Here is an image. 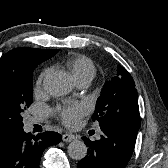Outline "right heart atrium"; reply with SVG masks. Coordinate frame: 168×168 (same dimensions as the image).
<instances>
[{"mask_svg": "<svg viewBox=\"0 0 168 168\" xmlns=\"http://www.w3.org/2000/svg\"><path fill=\"white\" fill-rule=\"evenodd\" d=\"M48 70L44 71L38 78L37 83H36V89L39 90L41 88L42 85V81L44 79V77L47 75Z\"/></svg>", "mask_w": 168, "mask_h": 168, "instance_id": "1", "label": "right heart atrium"}]
</instances>
